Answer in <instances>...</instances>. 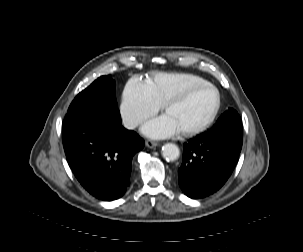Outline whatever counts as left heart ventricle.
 Returning <instances> with one entry per match:
<instances>
[{"instance_id": "b2bd125f", "label": "left heart ventricle", "mask_w": 303, "mask_h": 252, "mask_svg": "<svg viewBox=\"0 0 303 252\" xmlns=\"http://www.w3.org/2000/svg\"><path fill=\"white\" fill-rule=\"evenodd\" d=\"M215 104V94L209 87L193 91L185 101L171 106L166 115L181 129L201 125L209 117Z\"/></svg>"}]
</instances>
